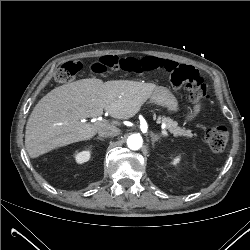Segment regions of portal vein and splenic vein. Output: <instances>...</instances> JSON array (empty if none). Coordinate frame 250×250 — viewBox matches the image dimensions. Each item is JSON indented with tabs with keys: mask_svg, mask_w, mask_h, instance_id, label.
Segmentation results:
<instances>
[{
	"mask_svg": "<svg viewBox=\"0 0 250 250\" xmlns=\"http://www.w3.org/2000/svg\"><path fill=\"white\" fill-rule=\"evenodd\" d=\"M99 122H102V121H99ZM162 134H163L164 136H169V134H168V132H167L166 130H162Z\"/></svg>",
	"mask_w": 250,
	"mask_h": 250,
	"instance_id": "1",
	"label": "portal vein and splenic vein"
}]
</instances>
